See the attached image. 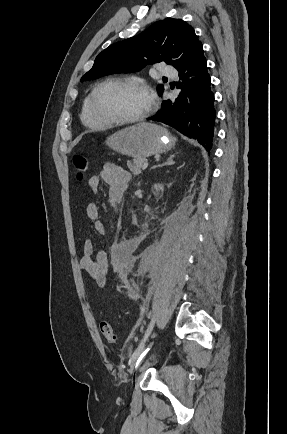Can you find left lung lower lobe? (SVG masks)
<instances>
[{
	"instance_id": "0a47b994",
	"label": "left lung lower lobe",
	"mask_w": 287,
	"mask_h": 434,
	"mask_svg": "<svg viewBox=\"0 0 287 434\" xmlns=\"http://www.w3.org/2000/svg\"><path fill=\"white\" fill-rule=\"evenodd\" d=\"M178 98L165 100L161 109L148 120L167 124L180 133L197 140L207 151L212 148L215 133L214 95L204 54L189 60L178 69Z\"/></svg>"
}]
</instances>
